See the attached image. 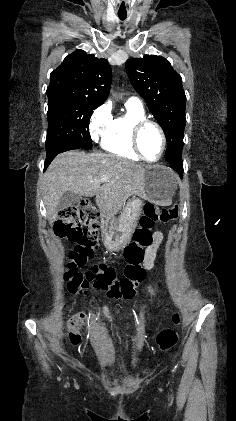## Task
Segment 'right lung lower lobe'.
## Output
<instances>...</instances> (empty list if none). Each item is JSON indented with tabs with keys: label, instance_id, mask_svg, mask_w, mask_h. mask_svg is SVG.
Segmentation results:
<instances>
[{
	"label": "right lung lower lobe",
	"instance_id": "98d812e1",
	"mask_svg": "<svg viewBox=\"0 0 236 421\" xmlns=\"http://www.w3.org/2000/svg\"><path fill=\"white\" fill-rule=\"evenodd\" d=\"M73 149H79L77 146H73V145H64V146H59L57 147L54 151L46 154V161H45V168L44 171L46 170V168L49 166V164L51 163V161L59 154L68 150H73Z\"/></svg>",
	"mask_w": 236,
	"mask_h": 421
}]
</instances>
